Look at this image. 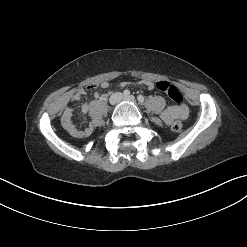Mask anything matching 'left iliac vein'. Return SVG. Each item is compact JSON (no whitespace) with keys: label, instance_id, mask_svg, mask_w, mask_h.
<instances>
[{"label":"left iliac vein","instance_id":"1","mask_svg":"<svg viewBox=\"0 0 247 247\" xmlns=\"http://www.w3.org/2000/svg\"><path fill=\"white\" fill-rule=\"evenodd\" d=\"M124 99L127 100V101H131V102H134L135 101V97L132 96V95H130L128 97H124Z\"/></svg>","mask_w":247,"mask_h":247}]
</instances>
